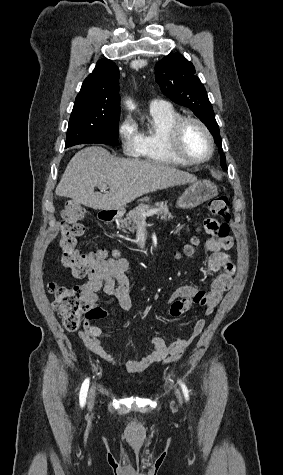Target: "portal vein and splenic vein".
Wrapping results in <instances>:
<instances>
[{"label":"portal vein and splenic vein","mask_w":283,"mask_h":475,"mask_svg":"<svg viewBox=\"0 0 283 475\" xmlns=\"http://www.w3.org/2000/svg\"><path fill=\"white\" fill-rule=\"evenodd\" d=\"M106 188V186H104ZM155 210H149V212H144L143 216H152L154 214Z\"/></svg>","instance_id":"18ae733b"}]
</instances>
